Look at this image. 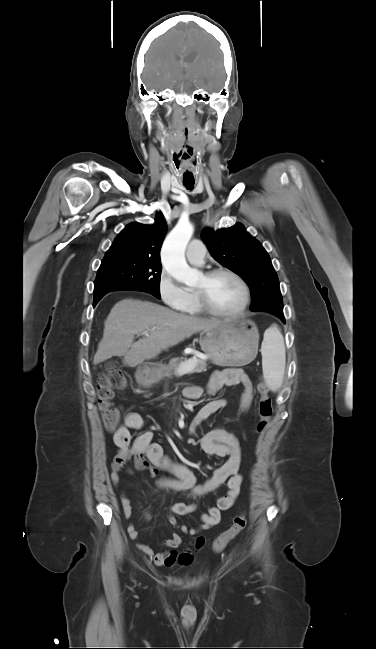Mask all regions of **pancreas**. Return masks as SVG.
Listing matches in <instances>:
<instances>
[{
    "instance_id": "obj_1",
    "label": "pancreas",
    "mask_w": 376,
    "mask_h": 649,
    "mask_svg": "<svg viewBox=\"0 0 376 649\" xmlns=\"http://www.w3.org/2000/svg\"><path fill=\"white\" fill-rule=\"evenodd\" d=\"M187 361H189V360H186V359L185 360H180V362H177L176 360H172L171 365L174 368L173 370H175L174 373H172V369H171L170 366L159 365V369H160L161 373H160V375H159V377H158V379L156 381L162 380L165 377H171L172 374H175V375H178V376H183L184 374H189L190 375V374H193V373H201V372L207 370L206 369L207 364H206L205 360L196 359L195 366H194L193 369H191L190 371H185V372L178 373V368L183 363H185Z\"/></svg>"
}]
</instances>
